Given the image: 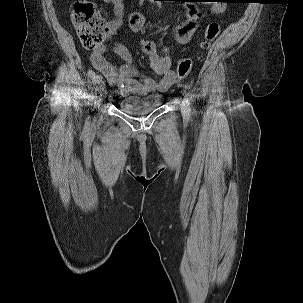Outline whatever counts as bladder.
<instances>
[{"label": "bladder", "mask_w": 303, "mask_h": 303, "mask_svg": "<svg viewBox=\"0 0 303 303\" xmlns=\"http://www.w3.org/2000/svg\"><path fill=\"white\" fill-rule=\"evenodd\" d=\"M164 96L158 93L151 94H124L119 101L120 109L131 115H143L159 108Z\"/></svg>", "instance_id": "31cf9c89"}]
</instances>
